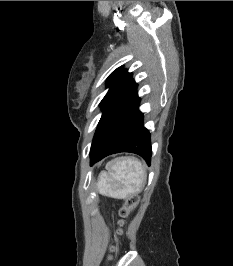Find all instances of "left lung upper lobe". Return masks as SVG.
<instances>
[{
  "mask_svg": "<svg viewBox=\"0 0 233 266\" xmlns=\"http://www.w3.org/2000/svg\"><path fill=\"white\" fill-rule=\"evenodd\" d=\"M133 82L132 73H128L122 67L112 72L107 80L109 91L100 103L102 111H104L107 106Z\"/></svg>",
  "mask_w": 233,
  "mask_h": 266,
  "instance_id": "left-lung-upper-lobe-1",
  "label": "left lung upper lobe"
}]
</instances>
